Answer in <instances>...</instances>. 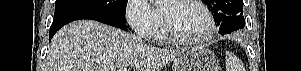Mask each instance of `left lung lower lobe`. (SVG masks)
<instances>
[{"label":"left lung lower lobe","instance_id":"0a47b994","mask_svg":"<svg viewBox=\"0 0 301 71\" xmlns=\"http://www.w3.org/2000/svg\"><path fill=\"white\" fill-rule=\"evenodd\" d=\"M242 15L243 14L231 15L218 23L217 25H220L219 33L221 35H224L231 33L232 31L244 28L245 20Z\"/></svg>","mask_w":301,"mask_h":71}]
</instances>
